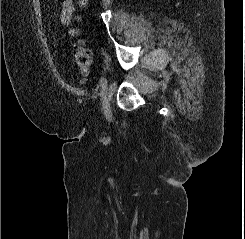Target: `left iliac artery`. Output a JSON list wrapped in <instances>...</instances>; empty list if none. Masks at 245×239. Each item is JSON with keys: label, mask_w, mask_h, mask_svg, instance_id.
Instances as JSON below:
<instances>
[{"label": "left iliac artery", "mask_w": 245, "mask_h": 239, "mask_svg": "<svg viewBox=\"0 0 245 239\" xmlns=\"http://www.w3.org/2000/svg\"><path fill=\"white\" fill-rule=\"evenodd\" d=\"M104 81H105V78L101 77L100 80H99L98 87H101L103 85Z\"/></svg>", "instance_id": "44dca946"}]
</instances>
